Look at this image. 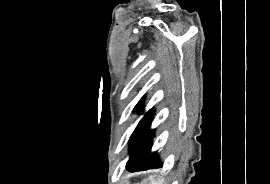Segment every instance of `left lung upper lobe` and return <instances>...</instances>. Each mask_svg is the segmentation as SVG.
Returning a JSON list of instances; mask_svg holds the SVG:
<instances>
[{
  "instance_id": "5c2ea615",
  "label": "left lung upper lobe",
  "mask_w": 270,
  "mask_h": 184,
  "mask_svg": "<svg viewBox=\"0 0 270 184\" xmlns=\"http://www.w3.org/2000/svg\"><path fill=\"white\" fill-rule=\"evenodd\" d=\"M144 97L141 98V100L136 105V108H140ZM155 114L153 109H150L147 113H145L144 117L141 119L139 124L137 125L136 129L134 130L133 134L130 137V148L133 146L135 141L138 139V137L142 134V132L145 130V128L150 124L153 115Z\"/></svg>"
}]
</instances>
